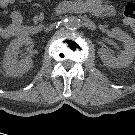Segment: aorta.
<instances>
[{
    "label": "aorta",
    "mask_w": 135,
    "mask_h": 135,
    "mask_svg": "<svg viewBox=\"0 0 135 135\" xmlns=\"http://www.w3.org/2000/svg\"><path fill=\"white\" fill-rule=\"evenodd\" d=\"M65 27L73 30L80 27V19L76 16H69L65 19Z\"/></svg>",
    "instance_id": "aorta-1"
}]
</instances>
